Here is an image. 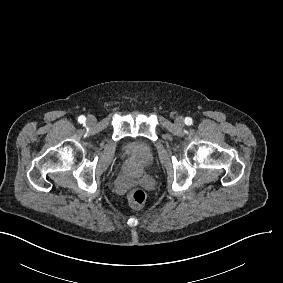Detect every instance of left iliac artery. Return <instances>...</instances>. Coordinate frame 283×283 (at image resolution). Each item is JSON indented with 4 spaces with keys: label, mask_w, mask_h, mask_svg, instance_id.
I'll use <instances>...</instances> for the list:
<instances>
[{
    "label": "left iliac artery",
    "mask_w": 283,
    "mask_h": 283,
    "mask_svg": "<svg viewBox=\"0 0 283 283\" xmlns=\"http://www.w3.org/2000/svg\"><path fill=\"white\" fill-rule=\"evenodd\" d=\"M185 124L186 125H191L192 124V119L190 117L185 118Z\"/></svg>",
    "instance_id": "1"
}]
</instances>
